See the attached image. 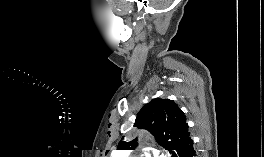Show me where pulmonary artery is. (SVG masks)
<instances>
[{
  "label": "pulmonary artery",
  "mask_w": 264,
  "mask_h": 157,
  "mask_svg": "<svg viewBox=\"0 0 264 157\" xmlns=\"http://www.w3.org/2000/svg\"><path fill=\"white\" fill-rule=\"evenodd\" d=\"M124 156L126 155V152L125 151H123V152H121Z\"/></svg>",
  "instance_id": "1"
}]
</instances>
